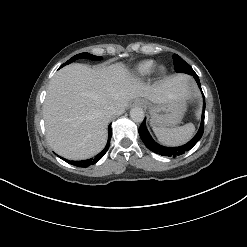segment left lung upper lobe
I'll use <instances>...</instances> for the list:
<instances>
[{"label":"left lung upper lobe","instance_id":"left-lung-upper-lobe-1","mask_svg":"<svg viewBox=\"0 0 247 247\" xmlns=\"http://www.w3.org/2000/svg\"><path fill=\"white\" fill-rule=\"evenodd\" d=\"M173 60L176 72L186 73L193 76L196 74L192 67L188 63H186L179 55L174 54Z\"/></svg>","mask_w":247,"mask_h":247}]
</instances>
